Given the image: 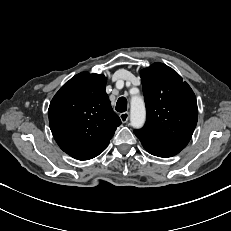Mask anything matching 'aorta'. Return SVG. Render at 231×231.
Instances as JSON below:
<instances>
[{
  "mask_svg": "<svg viewBox=\"0 0 231 231\" xmlns=\"http://www.w3.org/2000/svg\"><path fill=\"white\" fill-rule=\"evenodd\" d=\"M146 119V110L143 98L133 96L131 98L130 122L134 128L143 127Z\"/></svg>",
  "mask_w": 231,
  "mask_h": 231,
  "instance_id": "762f6f07",
  "label": "aorta"
}]
</instances>
